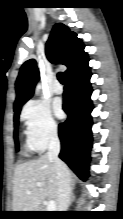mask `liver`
<instances>
[{
    "label": "liver",
    "instance_id": "1",
    "mask_svg": "<svg viewBox=\"0 0 123 219\" xmlns=\"http://www.w3.org/2000/svg\"><path fill=\"white\" fill-rule=\"evenodd\" d=\"M27 191L31 193L27 194ZM57 195L55 166L47 154L16 166L13 182L14 211H37L47 197L57 200Z\"/></svg>",
    "mask_w": 123,
    "mask_h": 219
}]
</instances>
